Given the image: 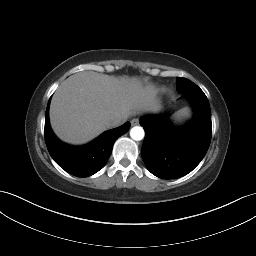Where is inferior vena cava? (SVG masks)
Returning a JSON list of instances; mask_svg holds the SVG:
<instances>
[{
  "mask_svg": "<svg viewBox=\"0 0 256 256\" xmlns=\"http://www.w3.org/2000/svg\"><path fill=\"white\" fill-rule=\"evenodd\" d=\"M125 120L126 119L122 118V117L116 118V119H114L113 121L110 122L109 126L110 127H117V126L121 125L122 123H124Z\"/></svg>",
  "mask_w": 256,
  "mask_h": 256,
  "instance_id": "inferior-vena-cava-1",
  "label": "inferior vena cava"
}]
</instances>
